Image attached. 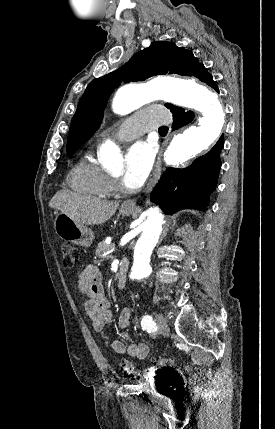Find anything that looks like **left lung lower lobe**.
I'll return each instance as SVG.
<instances>
[{"instance_id":"1","label":"left lung lower lobe","mask_w":275,"mask_h":429,"mask_svg":"<svg viewBox=\"0 0 275 429\" xmlns=\"http://www.w3.org/2000/svg\"><path fill=\"white\" fill-rule=\"evenodd\" d=\"M197 78L219 92L213 77L204 66L200 69ZM171 112L174 120L172 130L189 124L194 118L193 112H185L180 107L175 106ZM223 146L222 135L207 154L195 159L189 167L168 168L151 192V201L158 204L167 214L187 208L207 210L209 195L217 184L221 168L219 154Z\"/></svg>"}]
</instances>
